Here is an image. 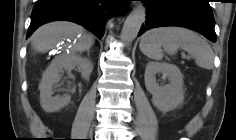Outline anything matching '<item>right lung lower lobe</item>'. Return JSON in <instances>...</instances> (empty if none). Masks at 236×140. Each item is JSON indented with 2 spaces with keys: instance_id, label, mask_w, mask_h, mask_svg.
<instances>
[{
  "instance_id": "right-lung-lower-lobe-1",
  "label": "right lung lower lobe",
  "mask_w": 236,
  "mask_h": 140,
  "mask_svg": "<svg viewBox=\"0 0 236 140\" xmlns=\"http://www.w3.org/2000/svg\"><path fill=\"white\" fill-rule=\"evenodd\" d=\"M130 0H38L33 8L27 38L41 25L54 20L78 23L102 38L108 18L125 14Z\"/></svg>"
}]
</instances>
